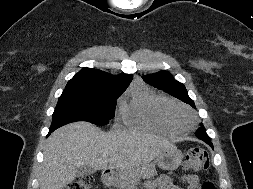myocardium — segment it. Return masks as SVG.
Masks as SVG:
<instances>
[{"label": "myocardium", "mask_w": 253, "mask_h": 189, "mask_svg": "<svg viewBox=\"0 0 253 189\" xmlns=\"http://www.w3.org/2000/svg\"><path fill=\"white\" fill-rule=\"evenodd\" d=\"M164 114L168 122L179 132L192 130L196 125L193 112L180 104H172L164 109Z\"/></svg>", "instance_id": "myocardium-1"}]
</instances>
